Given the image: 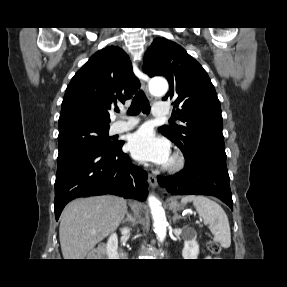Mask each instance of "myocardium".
I'll use <instances>...</instances> for the list:
<instances>
[{
    "label": "myocardium",
    "mask_w": 287,
    "mask_h": 287,
    "mask_svg": "<svg viewBox=\"0 0 287 287\" xmlns=\"http://www.w3.org/2000/svg\"><path fill=\"white\" fill-rule=\"evenodd\" d=\"M185 166V158L181 153L175 152L169 162H168V170L172 173H176L181 171Z\"/></svg>",
    "instance_id": "1"
}]
</instances>
